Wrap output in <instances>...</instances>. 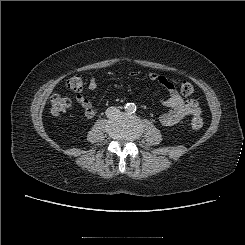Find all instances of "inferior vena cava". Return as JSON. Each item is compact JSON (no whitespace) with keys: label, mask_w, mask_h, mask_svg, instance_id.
<instances>
[{"label":"inferior vena cava","mask_w":245,"mask_h":245,"mask_svg":"<svg viewBox=\"0 0 245 245\" xmlns=\"http://www.w3.org/2000/svg\"><path fill=\"white\" fill-rule=\"evenodd\" d=\"M118 113H120V110L116 107H109L107 108L105 114L107 117H113L115 115H117Z\"/></svg>","instance_id":"inferior-vena-cava-1"}]
</instances>
